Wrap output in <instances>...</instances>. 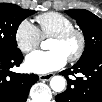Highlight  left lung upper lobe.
I'll return each instance as SVG.
<instances>
[{
  "label": "left lung upper lobe",
  "instance_id": "obj_1",
  "mask_svg": "<svg viewBox=\"0 0 102 102\" xmlns=\"http://www.w3.org/2000/svg\"><path fill=\"white\" fill-rule=\"evenodd\" d=\"M65 12L77 20L84 34L85 50L80 60L102 56V19L83 9H70Z\"/></svg>",
  "mask_w": 102,
  "mask_h": 102
}]
</instances>
